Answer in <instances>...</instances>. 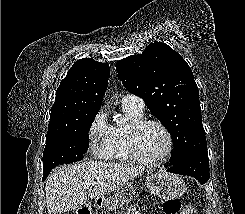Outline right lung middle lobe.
I'll return each mask as SVG.
<instances>
[{
  "instance_id": "dd1d6c3e",
  "label": "right lung middle lobe",
  "mask_w": 245,
  "mask_h": 214,
  "mask_svg": "<svg viewBox=\"0 0 245 214\" xmlns=\"http://www.w3.org/2000/svg\"><path fill=\"white\" fill-rule=\"evenodd\" d=\"M97 113L98 111L83 114L71 128L47 134L43 153V178L58 165L83 159V154L89 147L88 132Z\"/></svg>"
}]
</instances>
